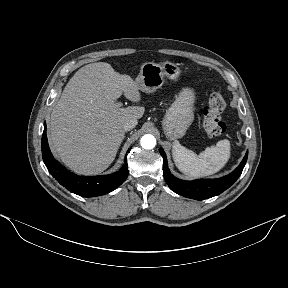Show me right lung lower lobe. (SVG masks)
Wrapping results in <instances>:
<instances>
[{
  "label": "right lung lower lobe",
  "instance_id": "right-lung-lower-lobe-1",
  "mask_svg": "<svg viewBox=\"0 0 288 288\" xmlns=\"http://www.w3.org/2000/svg\"><path fill=\"white\" fill-rule=\"evenodd\" d=\"M43 161L51 175L70 192L82 197H94L107 194L118 188L128 177L127 159L116 173L102 176H78L61 164L51 154L46 135V123L41 140Z\"/></svg>",
  "mask_w": 288,
  "mask_h": 288
}]
</instances>
